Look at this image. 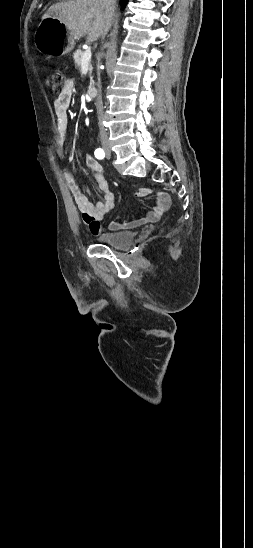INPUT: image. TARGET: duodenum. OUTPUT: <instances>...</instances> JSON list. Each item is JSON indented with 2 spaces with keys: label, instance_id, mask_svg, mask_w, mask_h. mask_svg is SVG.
I'll return each instance as SVG.
<instances>
[{
  "label": "duodenum",
  "instance_id": "410a0bca",
  "mask_svg": "<svg viewBox=\"0 0 253 548\" xmlns=\"http://www.w3.org/2000/svg\"><path fill=\"white\" fill-rule=\"evenodd\" d=\"M87 95L89 98H95L97 95V89L95 87H89L87 90Z\"/></svg>",
  "mask_w": 253,
  "mask_h": 548
}]
</instances>
